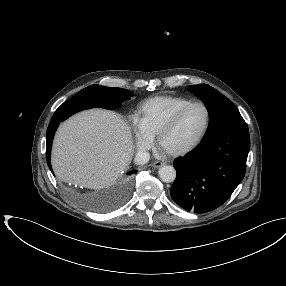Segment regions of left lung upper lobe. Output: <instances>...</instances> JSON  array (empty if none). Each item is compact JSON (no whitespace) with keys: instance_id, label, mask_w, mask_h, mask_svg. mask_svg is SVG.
<instances>
[{"instance_id":"1","label":"left lung upper lobe","mask_w":286,"mask_h":286,"mask_svg":"<svg viewBox=\"0 0 286 286\" xmlns=\"http://www.w3.org/2000/svg\"><path fill=\"white\" fill-rule=\"evenodd\" d=\"M189 91L196 94L207 107L210 125L204 136L228 130H248L239 110L227 97L207 84L190 85Z\"/></svg>"}]
</instances>
